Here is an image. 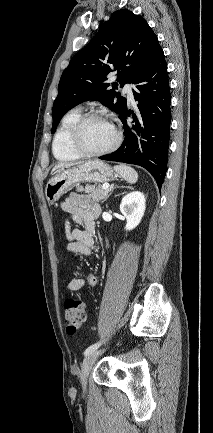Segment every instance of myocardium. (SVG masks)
Here are the masks:
<instances>
[{
    "label": "myocardium",
    "mask_w": 213,
    "mask_h": 433,
    "mask_svg": "<svg viewBox=\"0 0 213 433\" xmlns=\"http://www.w3.org/2000/svg\"><path fill=\"white\" fill-rule=\"evenodd\" d=\"M91 120H103L108 122L114 129L116 138L114 143L105 150L102 151H89L82 144V131L84 126ZM122 142V132L119 127L111 120L108 116L101 112H88L80 116L77 122L74 124L71 135L70 143L73 150L78 153L81 157H100L114 152Z\"/></svg>",
    "instance_id": "1"
}]
</instances>
